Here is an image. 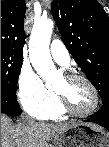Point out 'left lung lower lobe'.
<instances>
[{
  "label": "left lung lower lobe",
  "instance_id": "left-lung-lower-lobe-1",
  "mask_svg": "<svg viewBox=\"0 0 109 147\" xmlns=\"http://www.w3.org/2000/svg\"><path fill=\"white\" fill-rule=\"evenodd\" d=\"M85 122H93L99 124L109 131V99L105 101L101 109Z\"/></svg>",
  "mask_w": 109,
  "mask_h": 147
}]
</instances>
